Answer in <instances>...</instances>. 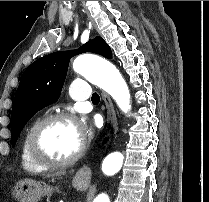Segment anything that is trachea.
Instances as JSON below:
<instances>
[{"instance_id": "obj_1", "label": "trachea", "mask_w": 209, "mask_h": 202, "mask_svg": "<svg viewBox=\"0 0 209 202\" xmlns=\"http://www.w3.org/2000/svg\"><path fill=\"white\" fill-rule=\"evenodd\" d=\"M91 101L92 103H98L100 101V97L97 93H93L92 97H91Z\"/></svg>"}]
</instances>
